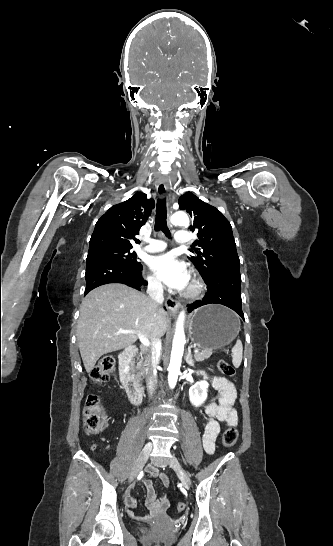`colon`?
I'll return each instance as SVG.
<instances>
[{
  "label": "colon",
  "mask_w": 333,
  "mask_h": 546,
  "mask_svg": "<svg viewBox=\"0 0 333 546\" xmlns=\"http://www.w3.org/2000/svg\"><path fill=\"white\" fill-rule=\"evenodd\" d=\"M219 371L231 378H235V368L226 360H219L217 362ZM115 369V360L112 356L102 357L91 371V379L94 382L101 383L113 373ZM107 414L100 399L96 396H90L87 398L84 405V420L83 428L86 434L94 435L101 432L107 424ZM238 439V431L235 427H229L222 436V444L224 447H232ZM185 509L183 502H178L176 510L182 512ZM159 546V545H155Z\"/></svg>",
  "instance_id": "colon-1"
}]
</instances>
